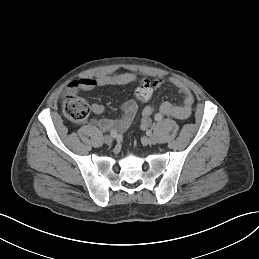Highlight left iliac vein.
Segmentation results:
<instances>
[{
  "label": "left iliac vein",
  "instance_id": "obj_1",
  "mask_svg": "<svg viewBox=\"0 0 259 259\" xmlns=\"http://www.w3.org/2000/svg\"><path fill=\"white\" fill-rule=\"evenodd\" d=\"M157 137L155 135H149L147 137V142L150 144V145H155L157 143Z\"/></svg>",
  "mask_w": 259,
  "mask_h": 259
}]
</instances>
